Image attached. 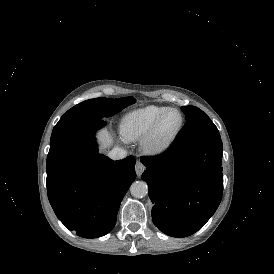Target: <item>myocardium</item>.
<instances>
[{
    "label": "myocardium",
    "mask_w": 274,
    "mask_h": 274,
    "mask_svg": "<svg viewBox=\"0 0 274 274\" xmlns=\"http://www.w3.org/2000/svg\"><path fill=\"white\" fill-rule=\"evenodd\" d=\"M172 112H178L181 115L182 122L178 130L169 136L164 142L157 143L156 138L159 134L162 123L165 118ZM186 125V116L184 112L179 108H168L155 122V124L143 135L140 139V148L146 155L157 156L165 153L175 142V140L183 132Z\"/></svg>",
    "instance_id": "f54148a6"
}]
</instances>
